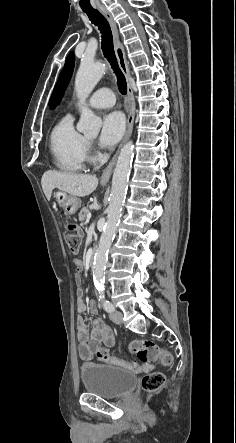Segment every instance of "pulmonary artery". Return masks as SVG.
<instances>
[{
  "label": "pulmonary artery",
  "instance_id": "pulmonary-artery-1",
  "mask_svg": "<svg viewBox=\"0 0 236 443\" xmlns=\"http://www.w3.org/2000/svg\"><path fill=\"white\" fill-rule=\"evenodd\" d=\"M115 103V95L108 88H101L95 91L89 98L88 104L95 108H107Z\"/></svg>",
  "mask_w": 236,
  "mask_h": 443
}]
</instances>
